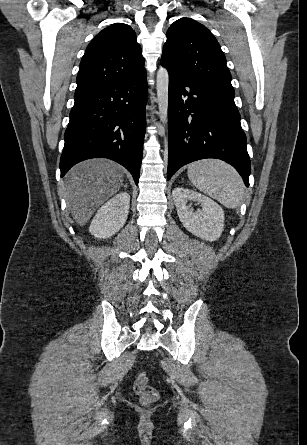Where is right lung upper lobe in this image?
I'll use <instances>...</instances> for the list:
<instances>
[{
  "instance_id": "right-lung-upper-lobe-1",
  "label": "right lung upper lobe",
  "mask_w": 307,
  "mask_h": 445,
  "mask_svg": "<svg viewBox=\"0 0 307 445\" xmlns=\"http://www.w3.org/2000/svg\"><path fill=\"white\" fill-rule=\"evenodd\" d=\"M144 70L134 30L127 24H112L88 45L80 63L76 92L117 83Z\"/></svg>"
}]
</instances>
